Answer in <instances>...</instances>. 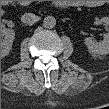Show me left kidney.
<instances>
[{
  "mask_svg": "<svg viewBox=\"0 0 109 109\" xmlns=\"http://www.w3.org/2000/svg\"><path fill=\"white\" fill-rule=\"evenodd\" d=\"M101 22L108 24V17H103ZM85 45L87 46L90 53L98 55H106L109 52V35H105V39L101 42H96L91 37L85 38Z\"/></svg>",
  "mask_w": 109,
  "mask_h": 109,
  "instance_id": "5707ae66",
  "label": "left kidney"
}]
</instances>
